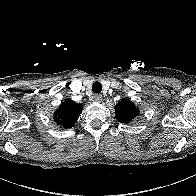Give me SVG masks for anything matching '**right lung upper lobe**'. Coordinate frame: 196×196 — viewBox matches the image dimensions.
<instances>
[{"mask_svg":"<svg viewBox=\"0 0 196 196\" xmlns=\"http://www.w3.org/2000/svg\"><path fill=\"white\" fill-rule=\"evenodd\" d=\"M82 112V104L71 99L64 101L54 112V121L63 128H71Z\"/></svg>","mask_w":196,"mask_h":196,"instance_id":"right-lung-upper-lobe-1","label":"right lung upper lobe"}]
</instances>
